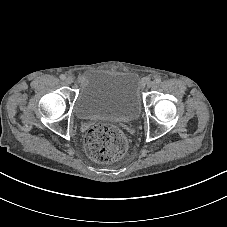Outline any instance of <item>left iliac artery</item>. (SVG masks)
<instances>
[{"label": "left iliac artery", "mask_w": 227, "mask_h": 227, "mask_svg": "<svg viewBox=\"0 0 227 227\" xmlns=\"http://www.w3.org/2000/svg\"><path fill=\"white\" fill-rule=\"evenodd\" d=\"M161 82V79L160 78H156L155 79V83L159 84Z\"/></svg>", "instance_id": "obj_1"}]
</instances>
